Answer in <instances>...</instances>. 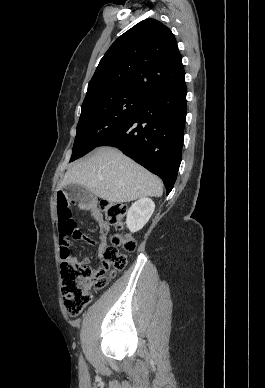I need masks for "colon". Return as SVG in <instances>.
<instances>
[{"mask_svg": "<svg viewBox=\"0 0 265 388\" xmlns=\"http://www.w3.org/2000/svg\"><path fill=\"white\" fill-rule=\"evenodd\" d=\"M100 207L105 219L118 230H122L127 207L124 204L101 201ZM57 215L59 225V248L61 262V292L65 310L71 316L81 313L92 299V291L107 285L113 275L122 270L127 258L120 253L118 246L131 252L135 248L134 239L127 234H116L112 237V245L103 252L102 266L92 270L70 258L71 238L82 239L84 235L77 230L72 218L70 201L63 192L57 194Z\"/></svg>", "mask_w": 265, "mask_h": 388, "instance_id": "colon-1", "label": "colon"}]
</instances>
